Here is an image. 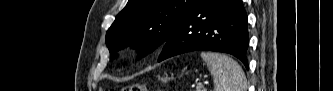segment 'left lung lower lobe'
<instances>
[{"label":"left lung lower lobe","instance_id":"obj_1","mask_svg":"<svg viewBox=\"0 0 333 91\" xmlns=\"http://www.w3.org/2000/svg\"><path fill=\"white\" fill-rule=\"evenodd\" d=\"M247 14L242 0H198L164 43L158 61L191 51L232 54L248 69Z\"/></svg>","mask_w":333,"mask_h":91}]
</instances>
